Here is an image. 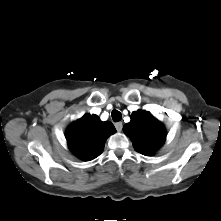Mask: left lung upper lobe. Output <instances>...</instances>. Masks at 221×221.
Wrapping results in <instances>:
<instances>
[{
    "mask_svg": "<svg viewBox=\"0 0 221 221\" xmlns=\"http://www.w3.org/2000/svg\"><path fill=\"white\" fill-rule=\"evenodd\" d=\"M124 132L130 137L134 149L146 156L158 150L166 138L162 123L145 110L132 113L131 121L124 125Z\"/></svg>",
    "mask_w": 221,
    "mask_h": 221,
    "instance_id": "left-lung-upper-lobe-1",
    "label": "left lung upper lobe"
}]
</instances>
